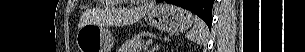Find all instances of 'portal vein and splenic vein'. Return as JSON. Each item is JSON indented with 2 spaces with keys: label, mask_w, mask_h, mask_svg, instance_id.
Instances as JSON below:
<instances>
[{
  "label": "portal vein and splenic vein",
  "mask_w": 305,
  "mask_h": 52,
  "mask_svg": "<svg viewBox=\"0 0 305 52\" xmlns=\"http://www.w3.org/2000/svg\"><path fill=\"white\" fill-rule=\"evenodd\" d=\"M152 43H153V40L149 39V40H147L146 45L149 46V45H152Z\"/></svg>",
  "instance_id": "obj_1"
}]
</instances>
